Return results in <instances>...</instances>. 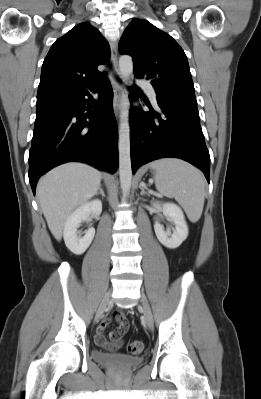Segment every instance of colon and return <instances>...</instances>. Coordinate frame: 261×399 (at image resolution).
I'll return each instance as SVG.
<instances>
[{
	"mask_svg": "<svg viewBox=\"0 0 261 399\" xmlns=\"http://www.w3.org/2000/svg\"><path fill=\"white\" fill-rule=\"evenodd\" d=\"M127 349L130 354L138 355L143 351L144 344L142 341L135 340L128 344Z\"/></svg>",
	"mask_w": 261,
	"mask_h": 399,
	"instance_id": "1",
	"label": "colon"
}]
</instances>
